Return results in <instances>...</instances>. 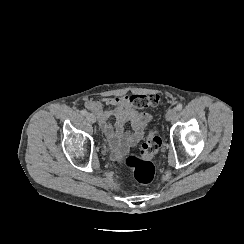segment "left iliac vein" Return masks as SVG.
Segmentation results:
<instances>
[{"label":"left iliac vein","mask_w":244,"mask_h":244,"mask_svg":"<svg viewBox=\"0 0 244 244\" xmlns=\"http://www.w3.org/2000/svg\"><path fill=\"white\" fill-rule=\"evenodd\" d=\"M177 115V111L175 109H169L166 113V120L171 121Z\"/></svg>","instance_id":"obj_1"}]
</instances>
